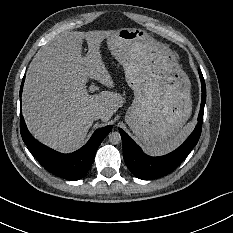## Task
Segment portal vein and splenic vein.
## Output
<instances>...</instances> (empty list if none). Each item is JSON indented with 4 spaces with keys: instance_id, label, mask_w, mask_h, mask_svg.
Wrapping results in <instances>:
<instances>
[{
    "instance_id": "obj_1",
    "label": "portal vein and splenic vein",
    "mask_w": 233,
    "mask_h": 233,
    "mask_svg": "<svg viewBox=\"0 0 233 233\" xmlns=\"http://www.w3.org/2000/svg\"><path fill=\"white\" fill-rule=\"evenodd\" d=\"M92 88L88 89V92H91Z\"/></svg>"
}]
</instances>
